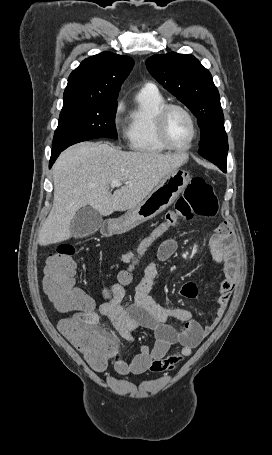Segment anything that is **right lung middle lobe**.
<instances>
[{
	"label": "right lung middle lobe",
	"instance_id": "obj_1",
	"mask_svg": "<svg viewBox=\"0 0 272 455\" xmlns=\"http://www.w3.org/2000/svg\"><path fill=\"white\" fill-rule=\"evenodd\" d=\"M117 101L108 103L63 104L53 138L52 151L100 137L117 139Z\"/></svg>",
	"mask_w": 272,
	"mask_h": 455
}]
</instances>
